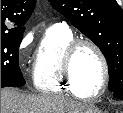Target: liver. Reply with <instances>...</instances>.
I'll return each instance as SVG.
<instances>
[{"label": "liver", "mask_w": 123, "mask_h": 113, "mask_svg": "<svg viewBox=\"0 0 123 113\" xmlns=\"http://www.w3.org/2000/svg\"><path fill=\"white\" fill-rule=\"evenodd\" d=\"M84 105L61 95H31L14 88L1 89V113H74Z\"/></svg>", "instance_id": "liver-1"}]
</instances>
